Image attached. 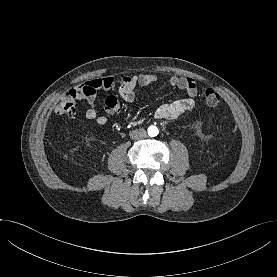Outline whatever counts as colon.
Listing matches in <instances>:
<instances>
[{
  "label": "colon",
  "mask_w": 277,
  "mask_h": 277,
  "mask_svg": "<svg viewBox=\"0 0 277 277\" xmlns=\"http://www.w3.org/2000/svg\"><path fill=\"white\" fill-rule=\"evenodd\" d=\"M84 91L81 88L70 90L57 104L58 114H73L76 110V101L82 96ZM205 102L209 106H216L220 102V96L214 89H207L204 93Z\"/></svg>",
  "instance_id": "obj_1"
}]
</instances>
